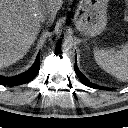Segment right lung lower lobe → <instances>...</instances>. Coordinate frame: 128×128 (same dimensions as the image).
I'll return each mask as SVG.
<instances>
[{"instance_id":"98d812e1","label":"right lung lower lobe","mask_w":128,"mask_h":128,"mask_svg":"<svg viewBox=\"0 0 128 128\" xmlns=\"http://www.w3.org/2000/svg\"><path fill=\"white\" fill-rule=\"evenodd\" d=\"M40 68V54L37 55L35 63L32 67L23 74L15 77H3L0 76V85L16 86L31 81L39 72Z\"/></svg>"}]
</instances>
